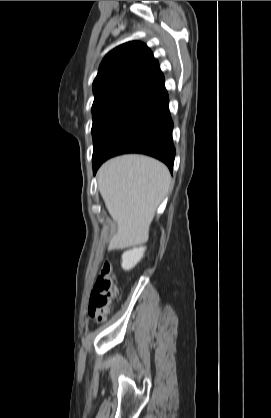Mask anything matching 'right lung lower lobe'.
<instances>
[{
  "instance_id": "obj_1",
  "label": "right lung lower lobe",
  "mask_w": 271,
  "mask_h": 418,
  "mask_svg": "<svg viewBox=\"0 0 271 418\" xmlns=\"http://www.w3.org/2000/svg\"><path fill=\"white\" fill-rule=\"evenodd\" d=\"M168 102L166 97L152 105L120 130L93 161L94 174L105 160L124 153H142L155 157L172 171L175 148Z\"/></svg>"
}]
</instances>
